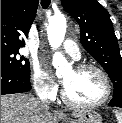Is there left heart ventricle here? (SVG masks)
I'll list each match as a JSON object with an SVG mask.
<instances>
[{"label":"left heart ventricle","mask_w":122,"mask_h":123,"mask_svg":"<svg viewBox=\"0 0 122 123\" xmlns=\"http://www.w3.org/2000/svg\"><path fill=\"white\" fill-rule=\"evenodd\" d=\"M63 82L69 96L80 102H95L106 92L102 76L94 69H71L64 74Z\"/></svg>","instance_id":"obj_1"}]
</instances>
